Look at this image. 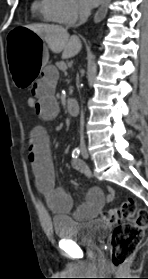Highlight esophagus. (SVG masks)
<instances>
[{
    "label": "esophagus",
    "mask_w": 148,
    "mask_h": 279,
    "mask_svg": "<svg viewBox=\"0 0 148 279\" xmlns=\"http://www.w3.org/2000/svg\"><path fill=\"white\" fill-rule=\"evenodd\" d=\"M109 1L110 0H103L101 6L94 15V23H99L105 18Z\"/></svg>",
    "instance_id": "1"
}]
</instances>
